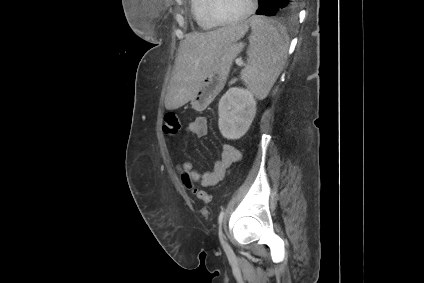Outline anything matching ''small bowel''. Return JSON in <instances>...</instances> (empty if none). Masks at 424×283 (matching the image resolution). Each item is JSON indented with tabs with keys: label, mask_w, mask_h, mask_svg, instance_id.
Segmentation results:
<instances>
[{
	"label": "small bowel",
	"mask_w": 424,
	"mask_h": 283,
	"mask_svg": "<svg viewBox=\"0 0 424 283\" xmlns=\"http://www.w3.org/2000/svg\"><path fill=\"white\" fill-rule=\"evenodd\" d=\"M187 130L196 137H203L208 133V120L204 116L197 117L190 122ZM241 157L240 151L231 144H225L221 151L220 159L217 160L212 170L198 172L194 169L191 162H182L178 165L177 170L182 176L187 174L192 183H198L202 187H211L219 183L225 176L227 169Z\"/></svg>",
	"instance_id": "small-bowel-1"
}]
</instances>
